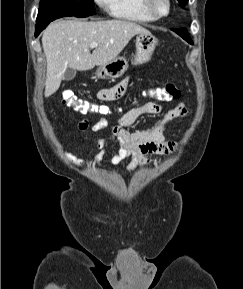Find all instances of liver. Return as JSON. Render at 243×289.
Masks as SVG:
<instances>
[{"label": "liver", "instance_id": "6515ba94", "mask_svg": "<svg viewBox=\"0 0 243 289\" xmlns=\"http://www.w3.org/2000/svg\"><path fill=\"white\" fill-rule=\"evenodd\" d=\"M148 32L125 20H60L43 32L42 45L47 60L45 97L60 87L68 67L87 71L116 58L135 35ZM99 45L90 53V43Z\"/></svg>", "mask_w": 243, "mask_h": 289}]
</instances>
